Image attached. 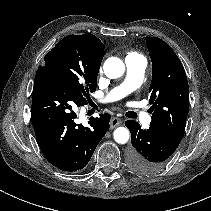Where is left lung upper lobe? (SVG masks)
Masks as SVG:
<instances>
[{
    "mask_svg": "<svg viewBox=\"0 0 211 211\" xmlns=\"http://www.w3.org/2000/svg\"><path fill=\"white\" fill-rule=\"evenodd\" d=\"M152 61L149 88L150 127L179 145L189 111V86L183 65L173 49L157 37H146Z\"/></svg>",
    "mask_w": 211,
    "mask_h": 211,
    "instance_id": "1",
    "label": "left lung upper lobe"
}]
</instances>
